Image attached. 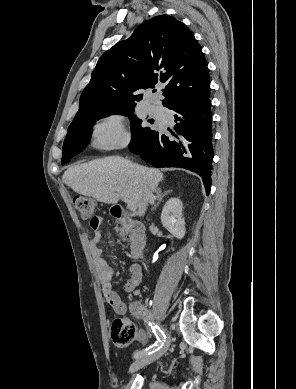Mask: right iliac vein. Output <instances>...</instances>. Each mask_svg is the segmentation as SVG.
<instances>
[{
  "mask_svg": "<svg viewBox=\"0 0 296 389\" xmlns=\"http://www.w3.org/2000/svg\"><path fill=\"white\" fill-rule=\"evenodd\" d=\"M169 344H170V340L168 338L164 343V345L154 353L137 358V360L131 365L130 372L137 371L138 369L159 359L162 355L165 354V352L169 347Z\"/></svg>",
  "mask_w": 296,
  "mask_h": 389,
  "instance_id": "1",
  "label": "right iliac vein"
}]
</instances>
